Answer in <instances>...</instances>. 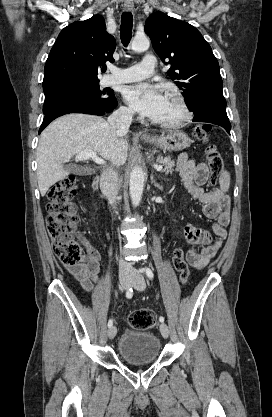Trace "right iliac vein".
Instances as JSON below:
<instances>
[{
	"instance_id": "obj_1",
	"label": "right iliac vein",
	"mask_w": 272,
	"mask_h": 417,
	"mask_svg": "<svg viewBox=\"0 0 272 417\" xmlns=\"http://www.w3.org/2000/svg\"><path fill=\"white\" fill-rule=\"evenodd\" d=\"M131 283H132V279L128 276L122 277L120 279V284H121L123 289H128L130 287ZM116 333H117V329H116L115 326H111L108 329V337L110 339H113L116 336Z\"/></svg>"
}]
</instances>
